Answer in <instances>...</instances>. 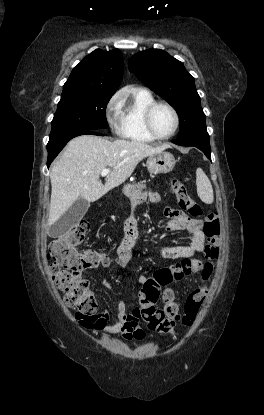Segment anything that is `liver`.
Listing matches in <instances>:
<instances>
[{
  "instance_id": "obj_1",
  "label": "liver",
  "mask_w": 264,
  "mask_h": 415,
  "mask_svg": "<svg viewBox=\"0 0 264 415\" xmlns=\"http://www.w3.org/2000/svg\"><path fill=\"white\" fill-rule=\"evenodd\" d=\"M168 147L123 139L109 141L90 135L72 139L51 169L48 225L58 221L78 198L95 202L125 182L142 159ZM105 168L111 171L102 184L100 174Z\"/></svg>"
}]
</instances>
